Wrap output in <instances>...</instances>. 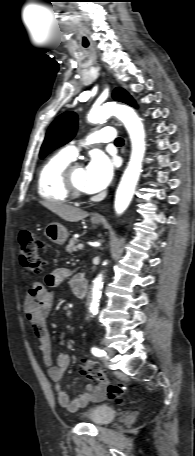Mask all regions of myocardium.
<instances>
[{
    "label": "myocardium",
    "instance_id": "myocardium-1",
    "mask_svg": "<svg viewBox=\"0 0 195 456\" xmlns=\"http://www.w3.org/2000/svg\"><path fill=\"white\" fill-rule=\"evenodd\" d=\"M79 167H82V165L80 163H77V162L70 163L66 167V169L64 170V173H63L64 186H65L69 196H71L72 198H76V199L83 198L87 195V191H84V190L78 188L73 182V172L76 168H79Z\"/></svg>",
    "mask_w": 195,
    "mask_h": 456
}]
</instances>
